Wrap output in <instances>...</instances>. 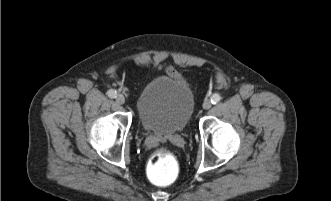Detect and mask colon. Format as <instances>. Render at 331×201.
I'll return each instance as SVG.
<instances>
[{
  "mask_svg": "<svg viewBox=\"0 0 331 201\" xmlns=\"http://www.w3.org/2000/svg\"><path fill=\"white\" fill-rule=\"evenodd\" d=\"M179 172L175 155L167 149L155 151L147 164V175L150 181L158 186L172 184Z\"/></svg>",
  "mask_w": 331,
  "mask_h": 201,
  "instance_id": "5ec220e1",
  "label": "colon"
}]
</instances>
